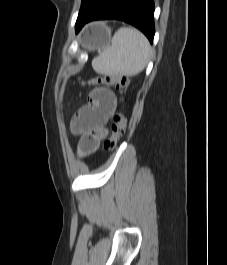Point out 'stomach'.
I'll use <instances>...</instances> for the list:
<instances>
[{
	"mask_svg": "<svg viewBox=\"0 0 227 265\" xmlns=\"http://www.w3.org/2000/svg\"><path fill=\"white\" fill-rule=\"evenodd\" d=\"M111 29L104 23L92 24L87 29L86 46L90 50L103 49L110 43Z\"/></svg>",
	"mask_w": 227,
	"mask_h": 265,
	"instance_id": "0dacf381",
	"label": "stomach"
}]
</instances>
